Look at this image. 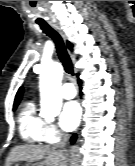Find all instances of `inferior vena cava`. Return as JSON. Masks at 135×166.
I'll list each match as a JSON object with an SVG mask.
<instances>
[{"mask_svg":"<svg viewBox=\"0 0 135 166\" xmlns=\"http://www.w3.org/2000/svg\"><path fill=\"white\" fill-rule=\"evenodd\" d=\"M68 141V135L64 134L61 136V141L58 144V147H64Z\"/></svg>","mask_w":135,"mask_h":166,"instance_id":"obj_1","label":"inferior vena cava"}]
</instances>
